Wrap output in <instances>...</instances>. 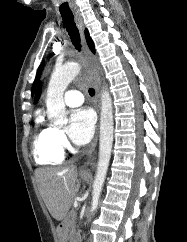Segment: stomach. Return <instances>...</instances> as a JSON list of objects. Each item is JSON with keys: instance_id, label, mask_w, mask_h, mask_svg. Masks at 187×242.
I'll list each match as a JSON object with an SVG mask.
<instances>
[{"instance_id": "0dacf381", "label": "stomach", "mask_w": 187, "mask_h": 242, "mask_svg": "<svg viewBox=\"0 0 187 242\" xmlns=\"http://www.w3.org/2000/svg\"><path fill=\"white\" fill-rule=\"evenodd\" d=\"M84 180H88L86 175H81ZM58 242H68V232L63 224L57 227Z\"/></svg>"}]
</instances>
